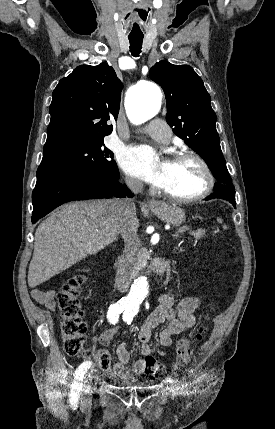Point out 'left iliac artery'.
I'll list each match as a JSON object with an SVG mask.
<instances>
[{
  "mask_svg": "<svg viewBox=\"0 0 275 429\" xmlns=\"http://www.w3.org/2000/svg\"><path fill=\"white\" fill-rule=\"evenodd\" d=\"M138 310L136 307L127 306L123 313V320L127 324H131L133 317L137 314Z\"/></svg>",
  "mask_w": 275,
  "mask_h": 429,
  "instance_id": "1",
  "label": "left iliac artery"
}]
</instances>
